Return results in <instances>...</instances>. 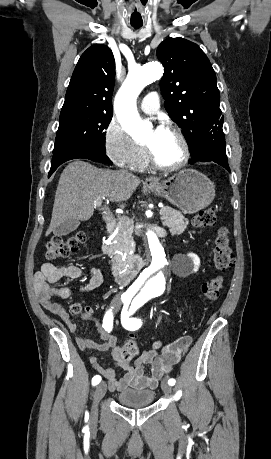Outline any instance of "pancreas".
<instances>
[{"label": "pancreas", "instance_id": "cf45deb5", "mask_svg": "<svg viewBox=\"0 0 271 459\" xmlns=\"http://www.w3.org/2000/svg\"><path fill=\"white\" fill-rule=\"evenodd\" d=\"M160 214H167V218L164 219L163 224L164 226H168L172 235H179V233H183L187 228L189 222L184 218L181 212L178 210H172L169 206H165V208H161ZM118 231L115 233L113 237V241H117V243H112V245H106L103 243L102 251L103 253H108V255H116V249H119L121 254L125 253L124 247H131V239H132V231H133V220L132 218H118ZM121 249V250H120Z\"/></svg>", "mask_w": 271, "mask_h": 459}]
</instances>
